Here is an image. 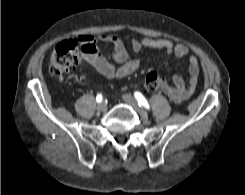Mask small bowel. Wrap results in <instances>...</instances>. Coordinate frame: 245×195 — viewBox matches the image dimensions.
Returning <instances> with one entry per match:
<instances>
[{
	"mask_svg": "<svg viewBox=\"0 0 245 195\" xmlns=\"http://www.w3.org/2000/svg\"><path fill=\"white\" fill-rule=\"evenodd\" d=\"M100 41L108 42L113 47L112 59L114 63L107 61L99 52L96 46L97 38L93 35H81L78 42L84 48L82 58L90 64L97 72L103 76L115 79L133 74L139 68V60L130 55V51L124 46L123 42L112 35L102 34L98 38ZM143 48H151L159 51H165L174 55L177 59L186 57L189 49L186 45L173 44L168 39L143 38L131 42V51L139 52ZM189 81L185 84L183 78L179 75L173 76V85L164 82L162 91L169 96L175 103H182L194 93L198 82L200 67L198 59L195 56L188 57Z\"/></svg>",
	"mask_w": 245,
	"mask_h": 195,
	"instance_id": "1",
	"label": "small bowel"
}]
</instances>
